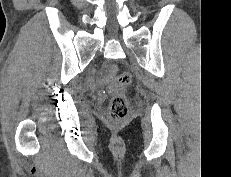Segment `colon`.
<instances>
[{"label": "colon", "instance_id": "colon-1", "mask_svg": "<svg viewBox=\"0 0 231 177\" xmlns=\"http://www.w3.org/2000/svg\"><path fill=\"white\" fill-rule=\"evenodd\" d=\"M131 82L132 74L128 71L113 77L109 82L108 90L111 95L109 117L113 122H121L129 114L130 104L125 89Z\"/></svg>", "mask_w": 231, "mask_h": 177}]
</instances>
